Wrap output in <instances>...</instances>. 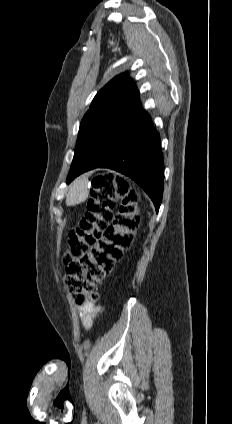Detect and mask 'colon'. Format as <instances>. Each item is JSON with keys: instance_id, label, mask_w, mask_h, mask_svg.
<instances>
[{"instance_id": "colon-1", "label": "colon", "mask_w": 232, "mask_h": 424, "mask_svg": "<svg viewBox=\"0 0 232 424\" xmlns=\"http://www.w3.org/2000/svg\"><path fill=\"white\" fill-rule=\"evenodd\" d=\"M116 201L120 206L114 214ZM139 223L137 192L115 176L94 177L85 215L70 234L63 259L64 283L78 307L84 308L96 301L98 286L130 247Z\"/></svg>"}]
</instances>
